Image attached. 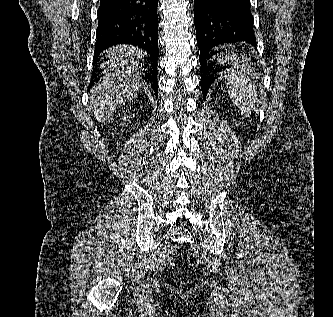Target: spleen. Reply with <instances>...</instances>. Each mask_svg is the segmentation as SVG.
<instances>
[{"label": "spleen", "instance_id": "obj_1", "mask_svg": "<svg viewBox=\"0 0 333 317\" xmlns=\"http://www.w3.org/2000/svg\"><path fill=\"white\" fill-rule=\"evenodd\" d=\"M233 67L221 73L226 81L229 97L239 110L249 117L257 101V89L252 84L250 76L252 69L244 58L228 55Z\"/></svg>", "mask_w": 333, "mask_h": 317}]
</instances>
